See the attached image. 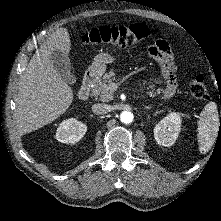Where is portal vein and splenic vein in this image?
Returning a JSON list of instances; mask_svg holds the SVG:
<instances>
[{
	"label": "portal vein and splenic vein",
	"mask_w": 221,
	"mask_h": 221,
	"mask_svg": "<svg viewBox=\"0 0 221 221\" xmlns=\"http://www.w3.org/2000/svg\"><path fill=\"white\" fill-rule=\"evenodd\" d=\"M110 87H111L112 89H116V88H117V85H116L115 83H112V84L110 85Z\"/></svg>",
	"instance_id": "obj_1"
}]
</instances>
